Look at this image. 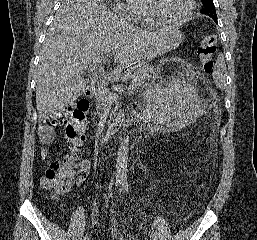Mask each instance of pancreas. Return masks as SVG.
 I'll use <instances>...</instances> for the list:
<instances>
[{
  "instance_id": "pancreas-1",
  "label": "pancreas",
  "mask_w": 257,
  "mask_h": 240,
  "mask_svg": "<svg viewBox=\"0 0 257 240\" xmlns=\"http://www.w3.org/2000/svg\"><path fill=\"white\" fill-rule=\"evenodd\" d=\"M153 72V66L144 64L139 67L133 74L132 86L134 88L140 87L149 78L150 73ZM115 94L111 89L101 87L95 94L97 110H105L112 106L117 99H114Z\"/></svg>"
}]
</instances>
